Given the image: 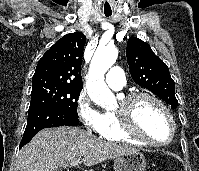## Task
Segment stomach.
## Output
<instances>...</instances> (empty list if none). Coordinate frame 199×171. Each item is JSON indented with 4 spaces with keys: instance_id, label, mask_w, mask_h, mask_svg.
Returning <instances> with one entry per match:
<instances>
[{
    "instance_id": "stomach-1",
    "label": "stomach",
    "mask_w": 199,
    "mask_h": 171,
    "mask_svg": "<svg viewBox=\"0 0 199 171\" xmlns=\"http://www.w3.org/2000/svg\"><path fill=\"white\" fill-rule=\"evenodd\" d=\"M145 168L146 160L140 152L123 154L114 160L115 171H145Z\"/></svg>"
}]
</instances>
